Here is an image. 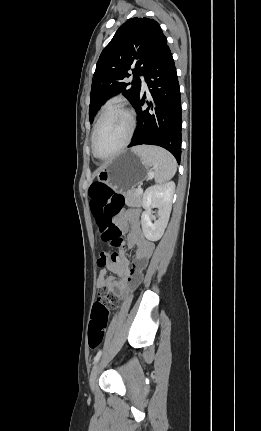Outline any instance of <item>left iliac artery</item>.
<instances>
[{
    "mask_svg": "<svg viewBox=\"0 0 261 431\" xmlns=\"http://www.w3.org/2000/svg\"><path fill=\"white\" fill-rule=\"evenodd\" d=\"M101 354H102V351L99 350L98 353L96 354V356L94 357V363H96L100 359Z\"/></svg>",
    "mask_w": 261,
    "mask_h": 431,
    "instance_id": "left-iliac-artery-1",
    "label": "left iliac artery"
}]
</instances>
